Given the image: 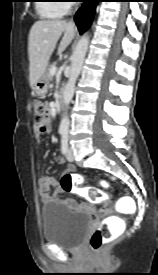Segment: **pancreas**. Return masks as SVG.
Wrapping results in <instances>:
<instances>
[{
    "label": "pancreas",
    "mask_w": 158,
    "mask_h": 275,
    "mask_svg": "<svg viewBox=\"0 0 158 275\" xmlns=\"http://www.w3.org/2000/svg\"><path fill=\"white\" fill-rule=\"evenodd\" d=\"M55 65H56V63H52L51 65H49V67L46 70V74H47L49 81H52V79H53V75H51L50 71Z\"/></svg>",
    "instance_id": "pancreas-1"
}]
</instances>
